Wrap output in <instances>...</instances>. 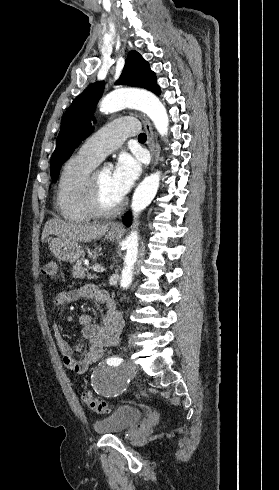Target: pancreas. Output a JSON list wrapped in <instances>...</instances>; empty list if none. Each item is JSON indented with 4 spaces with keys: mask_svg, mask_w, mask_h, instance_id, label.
Instances as JSON below:
<instances>
[{
    "mask_svg": "<svg viewBox=\"0 0 279 490\" xmlns=\"http://www.w3.org/2000/svg\"><path fill=\"white\" fill-rule=\"evenodd\" d=\"M72 276L73 278H78V280H85V278H88V280H96L98 276L96 274H89L88 268H84V262L80 260V262H76L75 266H73L72 270Z\"/></svg>",
    "mask_w": 279,
    "mask_h": 490,
    "instance_id": "obj_1",
    "label": "pancreas"
}]
</instances>
